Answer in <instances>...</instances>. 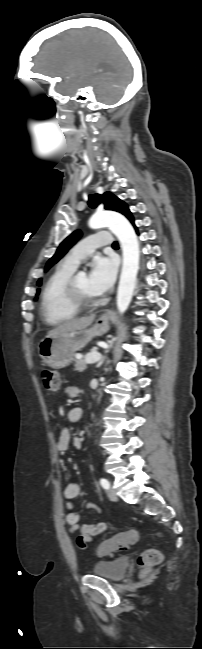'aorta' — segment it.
<instances>
[{"label": "aorta", "mask_w": 202, "mask_h": 649, "mask_svg": "<svg viewBox=\"0 0 202 649\" xmlns=\"http://www.w3.org/2000/svg\"><path fill=\"white\" fill-rule=\"evenodd\" d=\"M89 227H108L119 239L123 264L117 291V309L123 314L129 307L139 269V242L130 222L120 213L105 211L95 213L89 220Z\"/></svg>", "instance_id": "762f6f07"}]
</instances>
